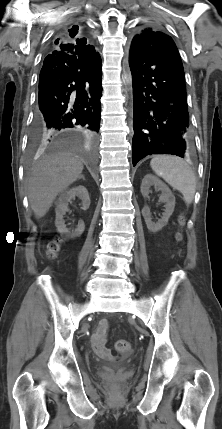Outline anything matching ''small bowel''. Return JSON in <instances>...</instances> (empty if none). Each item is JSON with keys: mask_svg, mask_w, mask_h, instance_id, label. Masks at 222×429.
Returning <instances> with one entry per match:
<instances>
[{"mask_svg": "<svg viewBox=\"0 0 222 429\" xmlns=\"http://www.w3.org/2000/svg\"><path fill=\"white\" fill-rule=\"evenodd\" d=\"M108 322L103 319L100 321L96 331L91 337V346L93 351L101 358L111 359V350L106 346L107 343Z\"/></svg>", "mask_w": 222, "mask_h": 429, "instance_id": "1", "label": "small bowel"}]
</instances>
